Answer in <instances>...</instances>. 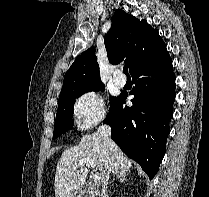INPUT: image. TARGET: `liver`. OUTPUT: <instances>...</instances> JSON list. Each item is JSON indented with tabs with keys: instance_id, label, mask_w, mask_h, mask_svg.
I'll return each instance as SVG.
<instances>
[{
	"instance_id": "6515ba94",
	"label": "liver",
	"mask_w": 209,
	"mask_h": 197,
	"mask_svg": "<svg viewBox=\"0 0 209 197\" xmlns=\"http://www.w3.org/2000/svg\"><path fill=\"white\" fill-rule=\"evenodd\" d=\"M85 158L94 160L102 181L110 168L115 174H126L132 167V161L113 141L108 146L97 133L83 136L77 146L64 150L57 162L54 184L56 197H71L84 185L89 169L76 166Z\"/></svg>"
}]
</instances>
